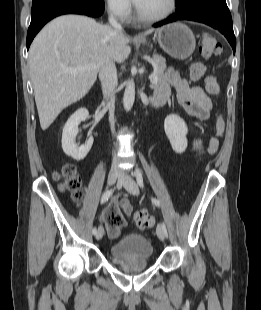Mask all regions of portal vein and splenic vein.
Returning <instances> with one entry per match:
<instances>
[{
    "label": "portal vein and splenic vein",
    "instance_id": "obj_1",
    "mask_svg": "<svg viewBox=\"0 0 261 310\" xmlns=\"http://www.w3.org/2000/svg\"><path fill=\"white\" fill-rule=\"evenodd\" d=\"M95 67H96V65H85V66L66 68L65 71L68 72V73L76 74V73L85 71L87 69L95 68ZM150 82H151V84H156L158 82V78L155 77V76H151L150 77Z\"/></svg>",
    "mask_w": 261,
    "mask_h": 310
}]
</instances>
